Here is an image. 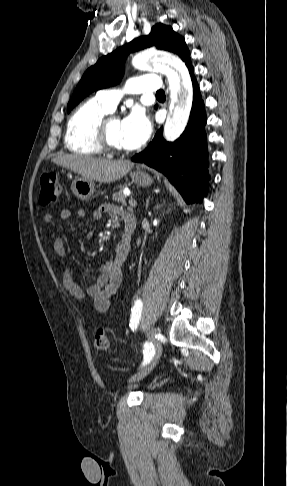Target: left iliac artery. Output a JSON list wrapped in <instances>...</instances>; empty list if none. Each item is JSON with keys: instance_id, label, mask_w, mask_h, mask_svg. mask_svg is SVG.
Here are the masks:
<instances>
[{"instance_id": "obj_1", "label": "left iliac artery", "mask_w": 287, "mask_h": 486, "mask_svg": "<svg viewBox=\"0 0 287 486\" xmlns=\"http://www.w3.org/2000/svg\"><path fill=\"white\" fill-rule=\"evenodd\" d=\"M142 308H143L142 300L137 299L135 301L133 308L131 309V318H130L129 326L131 327L132 330H136L137 327H138L139 320H140L141 314H142ZM143 354H144V360H143L142 366H145L146 364H148L151 361L152 357L155 354V349H154V346H153L152 343H150V342L144 343Z\"/></svg>"}]
</instances>
